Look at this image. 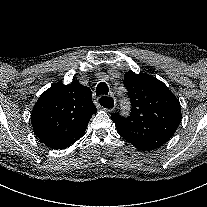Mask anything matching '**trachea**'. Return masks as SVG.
<instances>
[{
	"instance_id": "1",
	"label": "trachea",
	"mask_w": 207,
	"mask_h": 207,
	"mask_svg": "<svg viewBox=\"0 0 207 207\" xmlns=\"http://www.w3.org/2000/svg\"><path fill=\"white\" fill-rule=\"evenodd\" d=\"M108 86L106 83L101 82L96 87V95L107 94ZM100 104L103 107H112L114 105V100L111 97L103 96L100 98Z\"/></svg>"
}]
</instances>
